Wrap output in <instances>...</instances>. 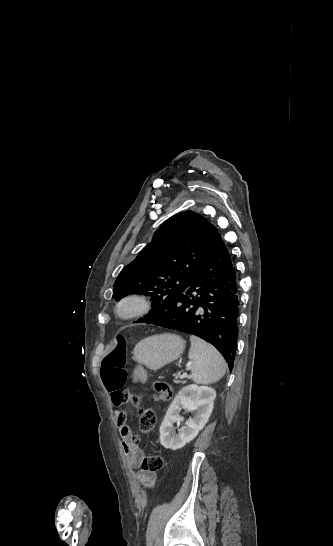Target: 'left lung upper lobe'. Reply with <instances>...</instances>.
Wrapping results in <instances>:
<instances>
[{"label": "left lung upper lobe", "mask_w": 333, "mask_h": 546, "mask_svg": "<svg viewBox=\"0 0 333 546\" xmlns=\"http://www.w3.org/2000/svg\"><path fill=\"white\" fill-rule=\"evenodd\" d=\"M218 230L193 211L176 214L154 233L152 241L118 275L116 300L128 294L151 296L153 321L170 309L171 300L186 291L207 258Z\"/></svg>", "instance_id": "1"}]
</instances>
